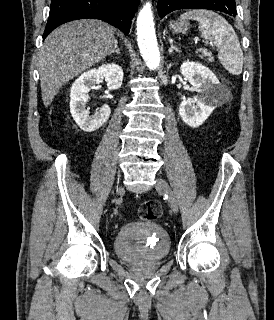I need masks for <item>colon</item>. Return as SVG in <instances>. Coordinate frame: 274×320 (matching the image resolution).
Segmentation results:
<instances>
[{"instance_id": "colon-1", "label": "colon", "mask_w": 274, "mask_h": 320, "mask_svg": "<svg viewBox=\"0 0 274 320\" xmlns=\"http://www.w3.org/2000/svg\"><path fill=\"white\" fill-rule=\"evenodd\" d=\"M161 213V206L154 199L146 200L139 210V216L144 221H153L154 219H157Z\"/></svg>"}]
</instances>
